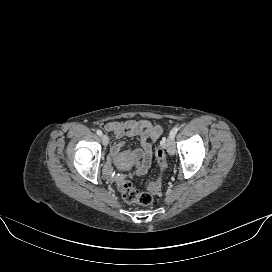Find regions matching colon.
<instances>
[{
  "mask_svg": "<svg viewBox=\"0 0 272 272\" xmlns=\"http://www.w3.org/2000/svg\"><path fill=\"white\" fill-rule=\"evenodd\" d=\"M155 156L157 164L161 172H163L167 168V157L163 147L160 146L156 149ZM161 186L162 180L160 177L154 182H151L147 186L148 191L145 192H139L132 185V183L127 180H121L118 183V189L121 193V196L127 203H136L144 206L150 205L152 203L153 201L152 194L159 192Z\"/></svg>",
  "mask_w": 272,
  "mask_h": 272,
  "instance_id": "obj_1",
  "label": "colon"
}]
</instances>
